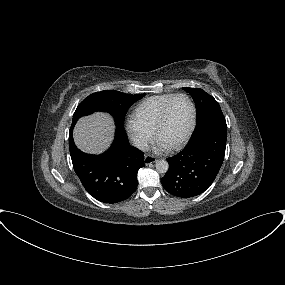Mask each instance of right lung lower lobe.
Here are the masks:
<instances>
[{
    "mask_svg": "<svg viewBox=\"0 0 285 285\" xmlns=\"http://www.w3.org/2000/svg\"><path fill=\"white\" fill-rule=\"evenodd\" d=\"M75 123L72 121L69 130V149L73 168L84 188L104 203L127 199L137 188V172L144 167L143 153L128 143L124 130L118 129L112 146L105 153H84L73 141Z\"/></svg>",
    "mask_w": 285,
    "mask_h": 285,
    "instance_id": "1",
    "label": "right lung lower lobe"
}]
</instances>
